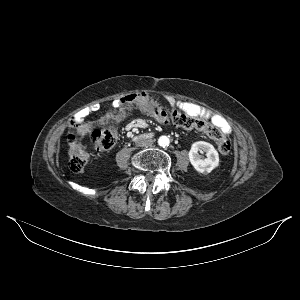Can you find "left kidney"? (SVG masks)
Wrapping results in <instances>:
<instances>
[{"label":"left kidney","instance_id":"obj_1","mask_svg":"<svg viewBox=\"0 0 300 300\" xmlns=\"http://www.w3.org/2000/svg\"><path fill=\"white\" fill-rule=\"evenodd\" d=\"M199 151L205 152L206 158L202 159ZM188 155L192 166L200 173H210L219 166V154L214 146L208 142L197 141L193 143Z\"/></svg>","mask_w":300,"mask_h":300}]
</instances>
